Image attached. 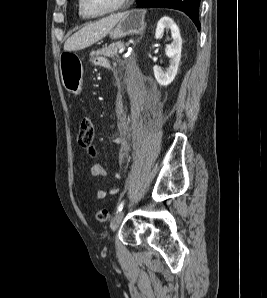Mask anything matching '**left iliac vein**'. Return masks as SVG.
I'll use <instances>...</instances> for the list:
<instances>
[{
  "label": "left iliac vein",
  "mask_w": 267,
  "mask_h": 298,
  "mask_svg": "<svg viewBox=\"0 0 267 298\" xmlns=\"http://www.w3.org/2000/svg\"><path fill=\"white\" fill-rule=\"evenodd\" d=\"M124 217V211L118 212L111 220L110 227L112 231H116Z\"/></svg>",
  "instance_id": "left-iliac-vein-1"
}]
</instances>
